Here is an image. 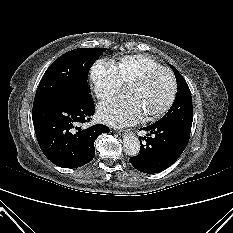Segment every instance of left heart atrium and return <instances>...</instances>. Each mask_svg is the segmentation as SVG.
Returning <instances> with one entry per match:
<instances>
[{
	"label": "left heart atrium",
	"mask_w": 233,
	"mask_h": 233,
	"mask_svg": "<svg viewBox=\"0 0 233 233\" xmlns=\"http://www.w3.org/2000/svg\"><path fill=\"white\" fill-rule=\"evenodd\" d=\"M144 115L138 99L132 95H122L98 106L99 118L113 126L137 123Z\"/></svg>",
	"instance_id": "1"
}]
</instances>
